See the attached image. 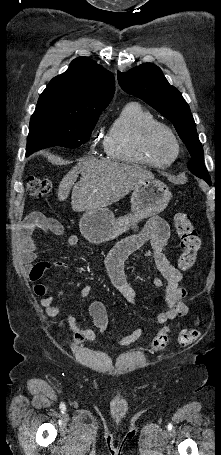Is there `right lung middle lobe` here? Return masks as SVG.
Returning <instances> with one entry per match:
<instances>
[{
    "mask_svg": "<svg viewBox=\"0 0 221 455\" xmlns=\"http://www.w3.org/2000/svg\"><path fill=\"white\" fill-rule=\"evenodd\" d=\"M100 114L74 115L36 109L30 120L26 155L49 146L79 147L89 140Z\"/></svg>",
    "mask_w": 221,
    "mask_h": 455,
    "instance_id": "right-lung-middle-lobe-1",
    "label": "right lung middle lobe"
}]
</instances>
